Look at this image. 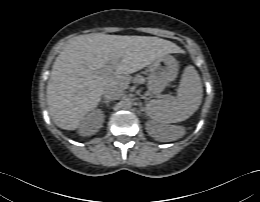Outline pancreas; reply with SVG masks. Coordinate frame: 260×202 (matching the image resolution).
Here are the masks:
<instances>
[{"mask_svg": "<svg viewBox=\"0 0 260 202\" xmlns=\"http://www.w3.org/2000/svg\"><path fill=\"white\" fill-rule=\"evenodd\" d=\"M143 78L141 76H137L136 79L134 80L135 82H139L141 81ZM127 87V84L126 83H122L121 84V88L124 89Z\"/></svg>", "mask_w": 260, "mask_h": 202, "instance_id": "1", "label": "pancreas"}]
</instances>
